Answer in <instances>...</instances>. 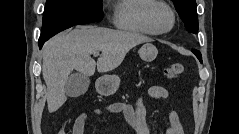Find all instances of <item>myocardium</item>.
I'll return each instance as SVG.
<instances>
[{"instance_id":"1","label":"myocardium","mask_w":239,"mask_h":134,"mask_svg":"<svg viewBox=\"0 0 239 134\" xmlns=\"http://www.w3.org/2000/svg\"><path fill=\"white\" fill-rule=\"evenodd\" d=\"M158 7L165 8L171 14L172 20H171V25L168 29L161 30L155 24L154 13H155V10ZM145 21H146L147 25L151 28V30L154 32V34L165 35V34H168L169 32H171L173 30V28L175 27V25H176V14H175V11L173 10V8L167 2H165V1H152L146 8Z\"/></svg>"}]
</instances>
